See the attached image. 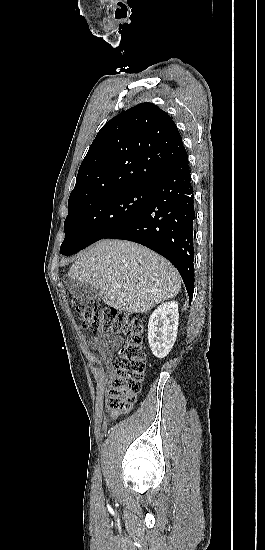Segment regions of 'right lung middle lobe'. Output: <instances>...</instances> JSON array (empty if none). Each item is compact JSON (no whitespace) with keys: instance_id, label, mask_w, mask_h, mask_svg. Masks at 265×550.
Returning <instances> with one entry per match:
<instances>
[{"instance_id":"1","label":"right lung middle lobe","mask_w":265,"mask_h":550,"mask_svg":"<svg viewBox=\"0 0 265 550\" xmlns=\"http://www.w3.org/2000/svg\"><path fill=\"white\" fill-rule=\"evenodd\" d=\"M151 187L132 188L68 204L60 253L69 256L135 219L146 207Z\"/></svg>"}]
</instances>
